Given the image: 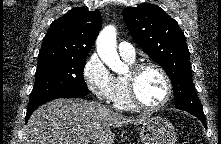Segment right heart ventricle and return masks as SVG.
I'll use <instances>...</instances> for the list:
<instances>
[{
  "mask_svg": "<svg viewBox=\"0 0 221 144\" xmlns=\"http://www.w3.org/2000/svg\"><path fill=\"white\" fill-rule=\"evenodd\" d=\"M124 60L126 62H128L129 64L134 63V61H130L127 59H124ZM115 79H116L117 86H118L117 95H116L115 99L113 100L115 107H117L118 109H121V110H129V109L134 108V106L131 104V102L129 101V98H128L125 77L118 76V77H115Z\"/></svg>",
  "mask_w": 221,
  "mask_h": 144,
  "instance_id": "right-heart-ventricle-1",
  "label": "right heart ventricle"
}]
</instances>
